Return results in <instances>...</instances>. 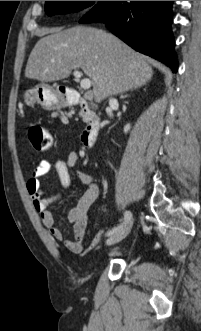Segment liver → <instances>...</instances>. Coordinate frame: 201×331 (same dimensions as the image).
<instances>
[{
	"mask_svg": "<svg viewBox=\"0 0 201 331\" xmlns=\"http://www.w3.org/2000/svg\"><path fill=\"white\" fill-rule=\"evenodd\" d=\"M50 33L33 48L25 77L54 82L81 69L90 78L98 103L152 78L153 70L143 55L103 30L76 26Z\"/></svg>",
	"mask_w": 201,
	"mask_h": 331,
	"instance_id": "1",
	"label": "liver"
}]
</instances>
